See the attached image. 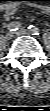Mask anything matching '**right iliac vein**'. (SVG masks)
I'll use <instances>...</instances> for the list:
<instances>
[{
    "instance_id": "right-iliac-vein-1",
    "label": "right iliac vein",
    "mask_w": 50,
    "mask_h": 111,
    "mask_svg": "<svg viewBox=\"0 0 50 111\" xmlns=\"http://www.w3.org/2000/svg\"><path fill=\"white\" fill-rule=\"evenodd\" d=\"M14 37V33L9 31L7 34H6V39L10 40Z\"/></svg>"
}]
</instances>
